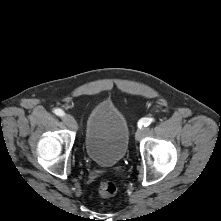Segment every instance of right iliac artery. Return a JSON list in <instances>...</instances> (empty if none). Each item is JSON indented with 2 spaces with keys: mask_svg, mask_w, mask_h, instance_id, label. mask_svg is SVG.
<instances>
[{
  "mask_svg": "<svg viewBox=\"0 0 221 221\" xmlns=\"http://www.w3.org/2000/svg\"><path fill=\"white\" fill-rule=\"evenodd\" d=\"M54 113L58 116H61V117L65 115L64 112L59 108L55 109Z\"/></svg>",
  "mask_w": 221,
  "mask_h": 221,
  "instance_id": "right-iliac-artery-1",
  "label": "right iliac artery"
}]
</instances>
